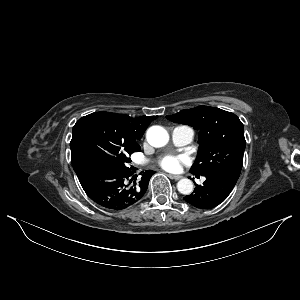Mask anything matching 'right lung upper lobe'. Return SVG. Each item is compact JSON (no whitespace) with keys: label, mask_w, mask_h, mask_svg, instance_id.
<instances>
[{"label":"right lung upper lobe","mask_w":300,"mask_h":300,"mask_svg":"<svg viewBox=\"0 0 300 300\" xmlns=\"http://www.w3.org/2000/svg\"><path fill=\"white\" fill-rule=\"evenodd\" d=\"M109 127L114 130L116 134L129 143L134 148H140L136 142L143 136L151 121L155 120L157 116H140L131 118L125 114H115L109 112H96Z\"/></svg>","instance_id":"obj_1"}]
</instances>
